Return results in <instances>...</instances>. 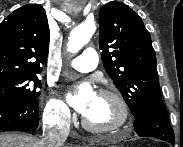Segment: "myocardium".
I'll return each instance as SVG.
<instances>
[{
	"instance_id": "obj_1",
	"label": "myocardium",
	"mask_w": 183,
	"mask_h": 147,
	"mask_svg": "<svg viewBox=\"0 0 183 147\" xmlns=\"http://www.w3.org/2000/svg\"><path fill=\"white\" fill-rule=\"evenodd\" d=\"M98 95L105 96L111 98L118 106L120 110V120L111 126L107 127H98L93 125L91 122H89L86 117L83 115L81 122L83 127L93 133L97 134H106V133H113L120 130L125 129L129 126L131 121V111L130 107L127 103V101L124 99V97L118 93L117 91L111 90V89H101L98 92Z\"/></svg>"
}]
</instances>
